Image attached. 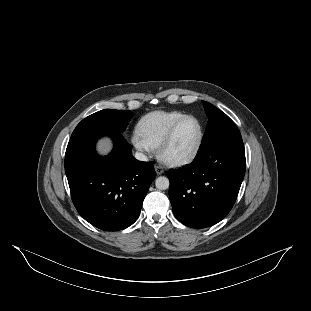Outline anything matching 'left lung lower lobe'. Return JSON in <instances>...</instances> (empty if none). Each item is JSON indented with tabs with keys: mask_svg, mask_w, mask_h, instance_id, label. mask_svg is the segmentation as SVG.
<instances>
[{
	"mask_svg": "<svg viewBox=\"0 0 311 311\" xmlns=\"http://www.w3.org/2000/svg\"><path fill=\"white\" fill-rule=\"evenodd\" d=\"M241 136L198 151L193 163L169 170V197L175 217L192 228L212 226L232 209L245 174Z\"/></svg>",
	"mask_w": 311,
	"mask_h": 311,
	"instance_id": "obj_1",
	"label": "left lung lower lobe"
}]
</instances>
